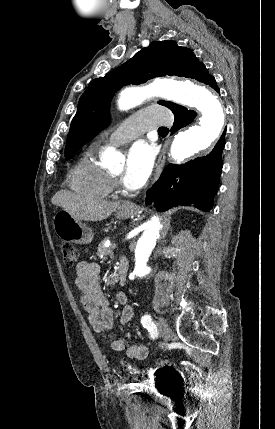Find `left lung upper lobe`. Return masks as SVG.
Returning <instances> with one entry per match:
<instances>
[{"instance_id": "left-lung-upper-lobe-1", "label": "left lung upper lobe", "mask_w": 275, "mask_h": 429, "mask_svg": "<svg viewBox=\"0 0 275 429\" xmlns=\"http://www.w3.org/2000/svg\"><path fill=\"white\" fill-rule=\"evenodd\" d=\"M203 66L190 49L178 46L175 41H155L104 77L92 80L82 94L71 122L65 147L66 158H72L84 144L109 125L110 100L123 85L140 84L166 75L197 79ZM158 103L171 110L178 106L167 101Z\"/></svg>"}]
</instances>
